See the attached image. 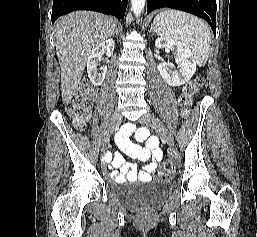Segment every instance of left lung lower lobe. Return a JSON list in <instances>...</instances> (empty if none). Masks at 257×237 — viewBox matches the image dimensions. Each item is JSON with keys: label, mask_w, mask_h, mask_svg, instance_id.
<instances>
[{"label": "left lung lower lobe", "mask_w": 257, "mask_h": 237, "mask_svg": "<svg viewBox=\"0 0 257 237\" xmlns=\"http://www.w3.org/2000/svg\"><path fill=\"white\" fill-rule=\"evenodd\" d=\"M172 8L206 20L216 33V0H147V14L158 8Z\"/></svg>", "instance_id": "obj_1"}]
</instances>
